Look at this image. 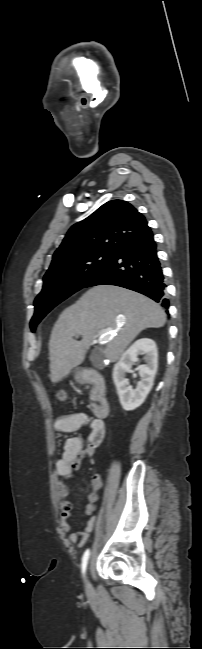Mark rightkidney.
<instances>
[{"instance_id":"obj_1","label":"right kidney","mask_w":202,"mask_h":649,"mask_svg":"<svg viewBox=\"0 0 202 649\" xmlns=\"http://www.w3.org/2000/svg\"><path fill=\"white\" fill-rule=\"evenodd\" d=\"M139 355H145V364L139 367L141 382L135 390L129 385L126 373ZM158 368V352L155 342L149 338L136 340L121 356L113 369V381L123 409L129 411L139 407L151 391Z\"/></svg>"}]
</instances>
